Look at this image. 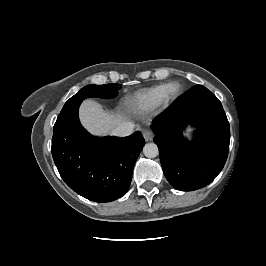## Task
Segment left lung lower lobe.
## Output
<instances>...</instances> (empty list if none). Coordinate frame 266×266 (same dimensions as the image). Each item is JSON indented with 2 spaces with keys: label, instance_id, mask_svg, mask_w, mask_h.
<instances>
[{
  "label": "left lung lower lobe",
  "instance_id": "0a47b994",
  "mask_svg": "<svg viewBox=\"0 0 266 266\" xmlns=\"http://www.w3.org/2000/svg\"><path fill=\"white\" fill-rule=\"evenodd\" d=\"M187 123L196 128L192 141L182 137ZM151 128L164 175L174 188H202L223 169L229 151V122L221 102L206 87L198 85L182 94L154 119Z\"/></svg>",
  "mask_w": 266,
  "mask_h": 266
}]
</instances>
